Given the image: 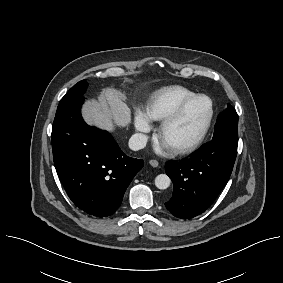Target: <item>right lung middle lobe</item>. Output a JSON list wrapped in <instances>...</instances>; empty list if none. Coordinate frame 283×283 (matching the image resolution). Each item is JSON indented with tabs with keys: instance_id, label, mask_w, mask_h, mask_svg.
<instances>
[{
	"instance_id": "1",
	"label": "right lung middle lobe",
	"mask_w": 283,
	"mask_h": 283,
	"mask_svg": "<svg viewBox=\"0 0 283 283\" xmlns=\"http://www.w3.org/2000/svg\"><path fill=\"white\" fill-rule=\"evenodd\" d=\"M87 89V82L86 80H82L78 82L76 85H74L67 93L66 95L61 99L59 104L66 103L68 101H71L75 98H78L83 95V93Z\"/></svg>"
}]
</instances>
